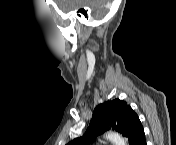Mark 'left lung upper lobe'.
<instances>
[{
  "label": "left lung upper lobe",
  "instance_id": "obj_1",
  "mask_svg": "<svg viewBox=\"0 0 176 145\" xmlns=\"http://www.w3.org/2000/svg\"><path fill=\"white\" fill-rule=\"evenodd\" d=\"M112 128L127 137L130 145H134L144 132L138 115L127 103L120 99L99 104L94 112L91 125L83 137L76 138L68 145H84L92 139Z\"/></svg>",
  "mask_w": 176,
  "mask_h": 145
}]
</instances>
